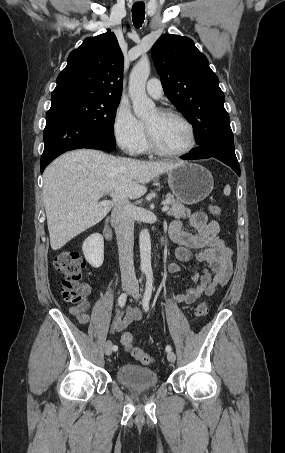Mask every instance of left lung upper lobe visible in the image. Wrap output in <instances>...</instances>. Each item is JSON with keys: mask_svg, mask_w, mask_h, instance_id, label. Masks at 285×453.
Returning <instances> with one entry per match:
<instances>
[{"mask_svg": "<svg viewBox=\"0 0 285 453\" xmlns=\"http://www.w3.org/2000/svg\"><path fill=\"white\" fill-rule=\"evenodd\" d=\"M151 53L167 98L192 124L197 144L233 137L218 77L194 42L166 34L156 41Z\"/></svg>", "mask_w": 285, "mask_h": 453, "instance_id": "left-lung-upper-lobe-1", "label": "left lung upper lobe"}]
</instances>
